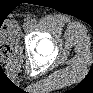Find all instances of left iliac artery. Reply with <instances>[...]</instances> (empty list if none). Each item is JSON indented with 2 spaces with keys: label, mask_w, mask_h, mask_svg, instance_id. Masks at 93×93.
Masks as SVG:
<instances>
[{
  "label": "left iliac artery",
  "mask_w": 93,
  "mask_h": 93,
  "mask_svg": "<svg viewBox=\"0 0 93 93\" xmlns=\"http://www.w3.org/2000/svg\"><path fill=\"white\" fill-rule=\"evenodd\" d=\"M31 23H32V24H36V23H37V20H36V19H32V20H31Z\"/></svg>",
  "instance_id": "1"
}]
</instances>
